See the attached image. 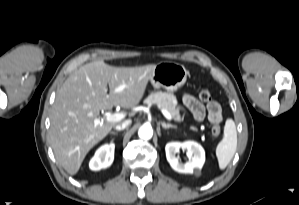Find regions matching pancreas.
<instances>
[{"instance_id": "1", "label": "pancreas", "mask_w": 299, "mask_h": 205, "mask_svg": "<svg viewBox=\"0 0 299 205\" xmlns=\"http://www.w3.org/2000/svg\"><path fill=\"white\" fill-rule=\"evenodd\" d=\"M144 103L157 104L158 106L168 111L175 121H181L179 109L177 108V99L172 93L161 91L152 93L144 100ZM190 129L194 131L197 130L195 126H190Z\"/></svg>"}]
</instances>
